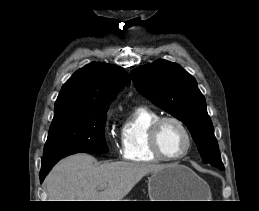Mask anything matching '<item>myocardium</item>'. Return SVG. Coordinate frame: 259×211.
Returning a JSON list of instances; mask_svg holds the SVG:
<instances>
[{"label": "myocardium", "mask_w": 259, "mask_h": 211, "mask_svg": "<svg viewBox=\"0 0 259 211\" xmlns=\"http://www.w3.org/2000/svg\"><path fill=\"white\" fill-rule=\"evenodd\" d=\"M167 122H174L176 123L184 132L186 139H187V146L184 149L182 153H180L177 156H167L160 145L159 141V134L162 126L167 123ZM149 144L152 152L161 160L164 161H178L186 157L189 152L192 149L193 146V137L192 134L189 130V128L186 126V124L179 118L175 116H164L160 117L158 120H156L153 125L151 126L149 130Z\"/></svg>", "instance_id": "1"}]
</instances>
